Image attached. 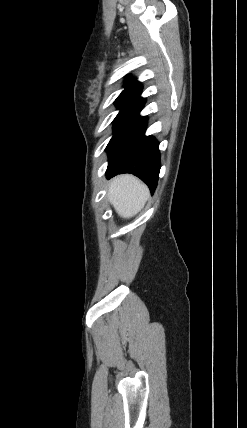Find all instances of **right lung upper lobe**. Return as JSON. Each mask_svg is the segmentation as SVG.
I'll list each match as a JSON object with an SVG mask.
<instances>
[{"instance_id": "1", "label": "right lung upper lobe", "mask_w": 247, "mask_h": 428, "mask_svg": "<svg viewBox=\"0 0 247 428\" xmlns=\"http://www.w3.org/2000/svg\"><path fill=\"white\" fill-rule=\"evenodd\" d=\"M142 86L140 82L136 80H132L125 86L124 93H134V94H140L141 93Z\"/></svg>"}]
</instances>
